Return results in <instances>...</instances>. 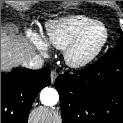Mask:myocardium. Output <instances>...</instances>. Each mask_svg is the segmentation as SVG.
<instances>
[{"instance_id": "myocardium-1", "label": "myocardium", "mask_w": 123, "mask_h": 123, "mask_svg": "<svg viewBox=\"0 0 123 123\" xmlns=\"http://www.w3.org/2000/svg\"><path fill=\"white\" fill-rule=\"evenodd\" d=\"M95 27H101L104 30V37L102 41L88 56L84 58H77L75 56V51L77 47L79 46L83 38ZM108 39L109 32L107 27L103 23L95 21L94 23L81 30L64 49L63 56L65 63L71 68H83L88 66L98 57V55L104 49L108 42Z\"/></svg>"}]
</instances>
